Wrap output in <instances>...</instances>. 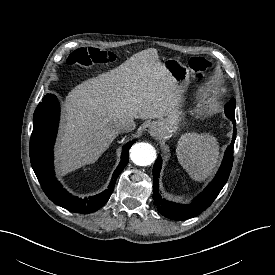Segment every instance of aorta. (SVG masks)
<instances>
[{"label": "aorta", "instance_id": "762f6f07", "mask_svg": "<svg viewBox=\"0 0 275 275\" xmlns=\"http://www.w3.org/2000/svg\"><path fill=\"white\" fill-rule=\"evenodd\" d=\"M130 158L136 165L147 166L156 159V151L148 143H136L130 149Z\"/></svg>", "mask_w": 275, "mask_h": 275}]
</instances>
